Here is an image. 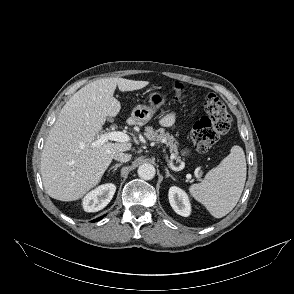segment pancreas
<instances>
[{"label":"pancreas","mask_w":294,"mask_h":294,"mask_svg":"<svg viewBox=\"0 0 294 294\" xmlns=\"http://www.w3.org/2000/svg\"><path fill=\"white\" fill-rule=\"evenodd\" d=\"M144 135L150 141L156 143H165L169 147L170 151L179 159L178 155V143L175 141L174 137L166 132L163 128L157 130L153 129L151 126L145 127Z\"/></svg>","instance_id":"1"}]
</instances>
